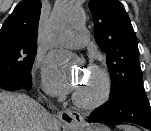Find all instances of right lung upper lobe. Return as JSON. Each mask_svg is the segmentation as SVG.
<instances>
[{
	"label": "right lung upper lobe",
	"mask_w": 151,
	"mask_h": 131,
	"mask_svg": "<svg viewBox=\"0 0 151 131\" xmlns=\"http://www.w3.org/2000/svg\"><path fill=\"white\" fill-rule=\"evenodd\" d=\"M40 0H22L0 29V49L11 43H19L37 51Z\"/></svg>",
	"instance_id": "cb5924a9"
}]
</instances>
